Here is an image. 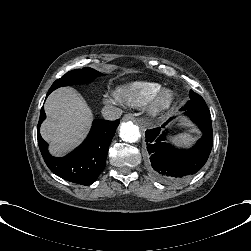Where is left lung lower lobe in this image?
<instances>
[{"label": "left lung lower lobe", "mask_w": 251, "mask_h": 251, "mask_svg": "<svg viewBox=\"0 0 251 251\" xmlns=\"http://www.w3.org/2000/svg\"><path fill=\"white\" fill-rule=\"evenodd\" d=\"M184 114L196 123L203 136L191 149H177L166 143V131L161 128L147 130L145 133L147 151L150 156L152 174L166 183H177L189 179L206 163L213 141L210 113L197 109H183ZM162 125V128L171 120Z\"/></svg>", "instance_id": "1"}]
</instances>
